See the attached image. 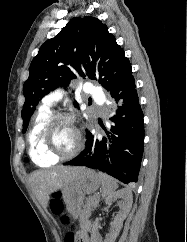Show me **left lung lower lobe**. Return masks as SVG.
Returning a JSON list of instances; mask_svg holds the SVG:
<instances>
[{"label": "left lung lower lobe", "instance_id": "0a47b994", "mask_svg": "<svg viewBox=\"0 0 187 242\" xmlns=\"http://www.w3.org/2000/svg\"><path fill=\"white\" fill-rule=\"evenodd\" d=\"M118 105L103 138L89 131L83 151L64 165L85 166L105 172L125 184L137 182L144 150L143 112L133 75L110 91Z\"/></svg>", "mask_w": 187, "mask_h": 242}]
</instances>
